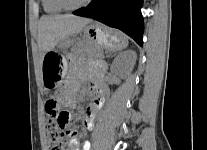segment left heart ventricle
Wrapping results in <instances>:
<instances>
[{
	"label": "left heart ventricle",
	"instance_id": "b2bd125f",
	"mask_svg": "<svg viewBox=\"0 0 207 150\" xmlns=\"http://www.w3.org/2000/svg\"><path fill=\"white\" fill-rule=\"evenodd\" d=\"M71 5H76L82 2L83 0H66Z\"/></svg>",
	"mask_w": 207,
	"mask_h": 150
}]
</instances>
